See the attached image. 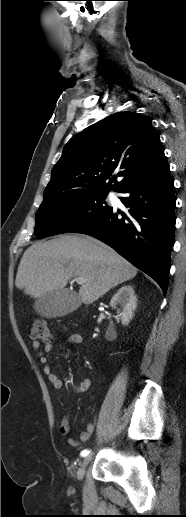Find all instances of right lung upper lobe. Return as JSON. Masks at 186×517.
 I'll use <instances>...</instances> for the list:
<instances>
[{
    "label": "right lung upper lobe",
    "instance_id": "right-lung-upper-lobe-1",
    "mask_svg": "<svg viewBox=\"0 0 186 517\" xmlns=\"http://www.w3.org/2000/svg\"><path fill=\"white\" fill-rule=\"evenodd\" d=\"M167 165L159 135L149 118L130 111L118 112L68 141L52 169L43 202L75 192H120ZM114 172L123 179L116 182L115 176L105 183Z\"/></svg>",
    "mask_w": 186,
    "mask_h": 517
}]
</instances>
